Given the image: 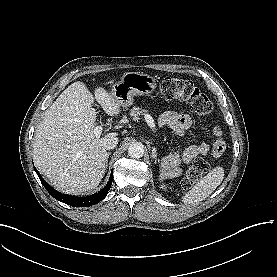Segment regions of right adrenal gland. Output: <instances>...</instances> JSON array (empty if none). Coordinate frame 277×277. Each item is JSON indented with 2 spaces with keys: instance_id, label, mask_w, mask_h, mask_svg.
<instances>
[{
  "instance_id": "right-adrenal-gland-1",
  "label": "right adrenal gland",
  "mask_w": 277,
  "mask_h": 277,
  "mask_svg": "<svg viewBox=\"0 0 277 277\" xmlns=\"http://www.w3.org/2000/svg\"><path fill=\"white\" fill-rule=\"evenodd\" d=\"M110 152H107V157H106V168H107V166H108V159H109V156H110Z\"/></svg>"
}]
</instances>
